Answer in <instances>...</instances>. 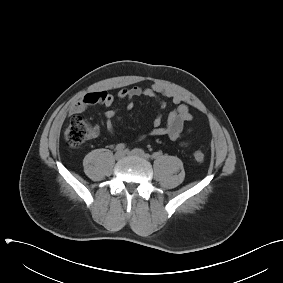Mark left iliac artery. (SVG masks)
Returning a JSON list of instances; mask_svg holds the SVG:
<instances>
[{"mask_svg":"<svg viewBox=\"0 0 283 283\" xmlns=\"http://www.w3.org/2000/svg\"><path fill=\"white\" fill-rule=\"evenodd\" d=\"M161 156V153L160 152H154L150 157L152 158V159H157V158H159Z\"/></svg>","mask_w":283,"mask_h":283,"instance_id":"left-iliac-artery-1","label":"left iliac artery"}]
</instances>
